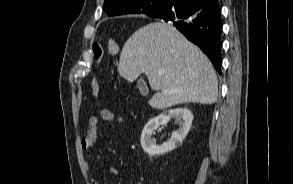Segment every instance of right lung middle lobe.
Here are the masks:
<instances>
[{
	"label": "right lung middle lobe",
	"mask_w": 293,
	"mask_h": 184,
	"mask_svg": "<svg viewBox=\"0 0 293 184\" xmlns=\"http://www.w3.org/2000/svg\"><path fill=\"white\" fill-rule=\"evenodd\" d=\"M166 6V0L156 1L150 6V12L156 14L161 12Z\"/></svg>",
	"instance_id": "right-lung-middle-lobe-1"
}]
</instances>
